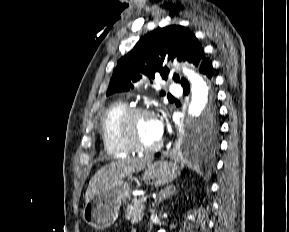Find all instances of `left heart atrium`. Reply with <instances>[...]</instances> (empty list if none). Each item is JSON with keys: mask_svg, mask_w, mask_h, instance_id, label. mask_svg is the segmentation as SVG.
Segmentation results:
<instances>
[{"mask_svg": "<svg viewBox=\"0 0 289 232\" xmlns=\"http://www.w3.org/2000/svg\"><path fill=\"white\" fill-rule=\"evenodd\" d=\"M155 130H156V136L158 140L161 139L163 135V123L161 120L155 118Z\"/></svg>", "mask_w": 289, "mask_h": 232, "instance_id": "39dd6f15", "label": "left heart atrium"}]
</instances>
